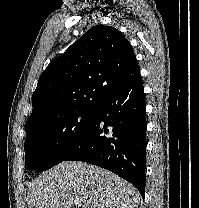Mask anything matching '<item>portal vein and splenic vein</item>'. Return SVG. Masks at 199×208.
Wrapping results in <instances>:
<instances>
[{"instance_id":"18ae733b","label":"portal vein and splenic vein","mask_w":199,"mask_h":208,"mask_svg":"<svg viewBox=\"0 0 199 208\" xmlns=\"http://www.w3.org/2000/svg\"><path fill=\"white\" fill-rule=\"evenodd\" d=\"M76 206H78V207H79V206H80V204H79V203H76Z\"/></svg>"}]
</instances>
